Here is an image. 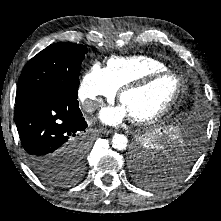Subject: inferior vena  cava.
I'll return each instance as SVG.
<instances>
[{"label": "inferior vena cava", "instance_id": "1", "mask_svg": "<svg viewBox=\"0 0 221 221\" xmlns=\"http://www.w3.org/2000/svg\"><path fill=\"white\" fill-rule=\"evenodd\" d=\"M101 106L100 100H87L83 104V109L86 112H94L96 109H98Z\"/></svg>", "mask_w": 221, "mask_h": 221}]
</instances>
